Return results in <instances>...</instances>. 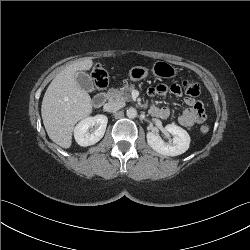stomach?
<instances>
[{
	"mask_svg": "<svg viewBox=\"0 0 250 250\" xmlns=\"http://www.w3.org/2000/svg\"><path fill=\"white\" fill-rule=\"evenodd\" d=\"M153 74L158 78H173L178 74V68L172 64L158 60L153 64ZM149 74V70L143 66H135L129 70V78L133 82L145 79Z\"/></svg>",
	"mask_w": 250,
	"mask_h": 250,
	"instance_id": "0dacf381",
	"label": "stomach"
}]
</instances>
